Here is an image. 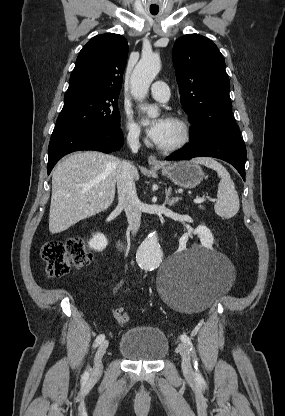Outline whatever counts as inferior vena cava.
<instances>
[{
    "label": "inferior vena cava",
    "instance_id": "inferior-vena-cava-1",
    "mask_svg": "<svg viewBox=\"0 0 285 416\" xmlns=\"http://www.w3.org/2000/svg\"><path fill=\"white\" fill-rule=\"evenodd\" d=\"M127 142L133 152L137 154L139 144V134L135 130H130L127 136ZM131 162H120L117 168V190L119 204L124 208L129 224V230H132V234H136L140 228L141 220V202H139L136 194V188L132 176Z\"/></svg>",
    "mask_w": 285,
    "mask_h": 416
}]
</instances>
